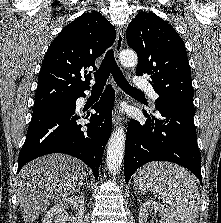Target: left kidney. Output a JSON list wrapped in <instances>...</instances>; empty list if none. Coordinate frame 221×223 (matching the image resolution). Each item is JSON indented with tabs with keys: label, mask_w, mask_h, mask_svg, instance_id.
<instances>
[{
	"label": "left kidney",
	"mask_w": 221,
	"mask_h": 223,
	"mask_svg": "<svg viewBox=\"0 0 221 223\" xmlns=\"http://www.w3.org/2000/svg\"><path fill=\"white\" fill-rule=\"evenodd\" d=\"M158 213L161 219L159 223H176L170 213L161 205L153 200L145 201L139 211V223H148L149 212Z\"/></svg>",
	"instance_id": "obj_1"
}]
</instances>
